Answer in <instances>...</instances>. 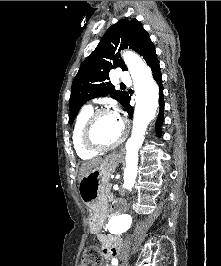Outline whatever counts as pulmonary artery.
Masks as SVG:
<instances>
[{"label": "pulmonary artery", "instance_id": "obj_1", "mask_svg": "<svg viewBox=\"0 0 221 266\" xmlns=\"http://www.w3.org/2000/svg\"><path fill=\"white\" fill-rule=\"evenodd\" d=\"M118 77L122 82H129L130 77L127 72L122 71L121 69H118Z\"/></svg>", "mask_w": 221, "mask_h": 266}]
</instances>
